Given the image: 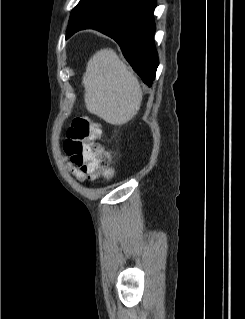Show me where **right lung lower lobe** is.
<instances>
[{
    "label": "right lung lower lobe",
    "instance_id": "obj_1",
    "mask_svg": "<svg viewBox=\"0 0 245 319\" xmlns=\"http://www.w3.org/2000/svg\"><path fill=\"white\" fill-rule=\"evenodd\" d=\"M156 5V0H130L114 12L81 28L96 29L113 38L126 60L149 87L159 64L154 43L156 26L153 12Z\"/></svg>",
    "mask_w": 245,
    "mask_h": 319
}]
</instances>
